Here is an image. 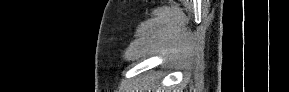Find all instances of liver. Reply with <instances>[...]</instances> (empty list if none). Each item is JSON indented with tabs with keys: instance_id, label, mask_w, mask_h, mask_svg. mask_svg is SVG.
<instances>
[{
	"instance_id": "obj_1",
	"label": "liver",
	"mask_w": 289,
	"mask_h": 92,
	"mask_svg": "<svg viewBox=\"0 0 289 92\" xmlns=\"http://www.w3.org/2000/svg\"><path fill=\"white\" fill-rule=\"evenodd\" d=\"M148 85H149V82L147 79L146 80L145 79H139L136 82V84L132 87L131 92H135V90H136V92H144V91L146 92L147 90H149V92H150L151 88H149ZM152 87H153V85H152Z\"/></svg>"
}]
</instances>
